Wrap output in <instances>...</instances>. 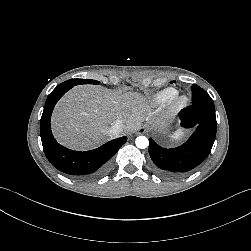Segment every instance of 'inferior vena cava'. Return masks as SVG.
I'll return each instance as SVG.
<instances>
[{"label":"inferior vena cava","mask_w":251,"mask_h":251,"mask_svg":"<svg viewBox=\"0 0 251 251\" xmlns=\"http://www.w3.org/2000/svg\"><path fill=\"white\" fill-rule=\"evenodd\" d=\"M124 130V127L123 125L121 124V122L119 121H116L114 123V125L112 126V128L110 129L109 133L112 135V136H117L119 135L121 132H123Z\"/></svg>","instance_id":"inferior-vena-cava-1"}]
</instances>
